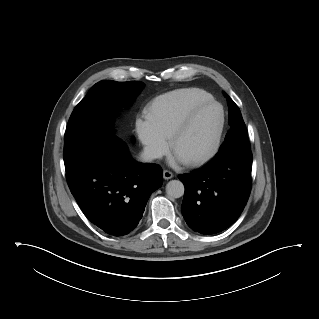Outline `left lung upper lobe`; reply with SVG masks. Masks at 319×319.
<instances>
[{
    "mask_svg": "<svg viewBox=\"0 0 319 319\" xmlns=\"http://www.w3.org/2000/svg\"><path fill=\"white\" fill-rule=\"evenodd\" d=\"M225 97L228 100L229 104V125L230 129L228 130L225 141L220 147V151L217 153L218 155L229 152L236 149H245L251 150L248 132L243 121L240 109L234 103V101L224 93Z\"/></svg>",
    "mask_w": 319,
    "mask_h": 319,
    "instance_id": "5c2ea615",
    "label": "left lung upper lobe"
}]
</instances>
